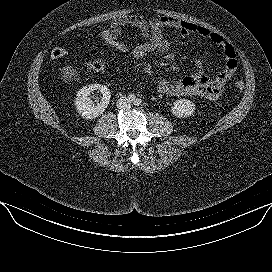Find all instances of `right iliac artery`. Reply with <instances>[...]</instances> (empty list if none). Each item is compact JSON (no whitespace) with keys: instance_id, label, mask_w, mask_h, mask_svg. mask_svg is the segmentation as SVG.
I'll use <instances>...</instances> for the list:
<instances>
[{"instance_id":"obj_1","label":"right iliac artery","mask_w":272,"mask_h":272,"mask_svg":"<svg viewBox=\"0 0 272 272\" xmlns=\"http://www.w3.org/2000/svg\"><path fill=\"white\" fill-rule=\"evenodd\" d=\"M135 98H136V97L134 96V94H129V95H128V101H129V102L135 101Z\"/></svg>"}]
</instances>
